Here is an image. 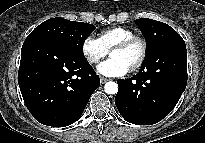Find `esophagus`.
Listing matches in <instances>:
<instances>
[{
    "label": "esophagus",
    "mask_w": 205,
    "mask_h": 143,
    "mask_svg": "<svg viewBox=\"0 0 205 143\" xmlns=\"http://www.w3.org/2000/svg\"><path fill=\"white\" fill-rule=\"evenodd\" d=\"M107 81H108L107 78L100 77V82H101V84H104V83H106Z\"/></svg>",
    "instance_id": "obj_1"
}]
</instances>
